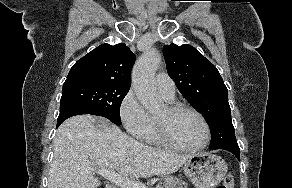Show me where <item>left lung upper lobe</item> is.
Returning <instances> with one entry per match:
<instances>
[{"instance_id":"1","label":"left lung upper lobe","mask_w":292,"mask_h":188,"mask_svg":"<svg viewBox=\"0 0 292 188\" xmlns=\"http://www.w3.org/2000/svg\"><path fill=\"white\" fill-rule=\"evenodd\" d=\"M163 53L169 76L209 124L210 149L237 142L228 91L216 67L189 44L166 45Z\"/></svg>"}]
</instances>
